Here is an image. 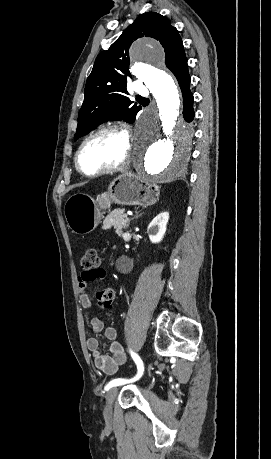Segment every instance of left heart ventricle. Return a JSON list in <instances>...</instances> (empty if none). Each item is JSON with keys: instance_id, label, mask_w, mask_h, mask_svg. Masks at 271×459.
Listing matches in <instances>:
<instances>
[{"instance_id": "obj_1", "label": "left heart ventricle", "mask_w": 271, "mask_h": 459, "mask_svg": "<svg viewBox=\"0 0 271 459\" xmlns=\"http://www.w3.org/2000/svg\"><path fill=\"white\" fill-rule=\"evenodd\" d=\"M127 150V141L114 132H103L89 139L80 154V165L88 172L119 161Z\"/></svg>"}]
</instances>
